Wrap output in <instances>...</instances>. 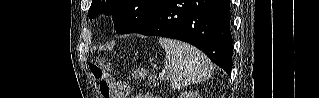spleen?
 <instances>
[{
    "label": "spleen",
    "mask_w": 319,
    "mask_h": 98,
    "mask_svg": "<svg viewBox=\"0 0 319 98\" xmlns=\"http://www.w3.org/2000/svg\"><path fill=\"white\" fill-rule=\"evenodd\" d=\"M165 50V70L174 89L185 88L211 77L213 64L197 48L184 42L160 38Z\"/></svg>",
    "instance_id": "spleen-1"
}]
</instances>
